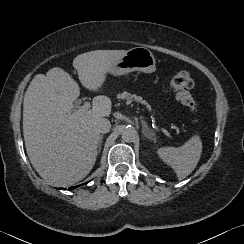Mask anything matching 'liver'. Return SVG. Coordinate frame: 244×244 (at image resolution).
I'll list each match as a JSON object with an SVG mask.
<instances>
[{
  "mask_svg": "<svg viewBox=\"0 0 244 244\" xmlns=\"http://www.w3.org/2000/svg\"><path fill=\"white\" fill-rule=\"evenodd\" d=\"M125 50H95L76 56L73 67L83 87L98 91L106 74ZM80 95L77 82L65 70L54 67L31 81L23 102V135L29 160L39 175L57 185L74 184L92 170L99 132L95 123L111 113V100L97 96L93 107L71 114Z\"/></svg>",
  "mask_w": 244,
  "mask_h": 244,
  "instance_id": "obj_1",
  "label": "liver"
}]
</instances>
